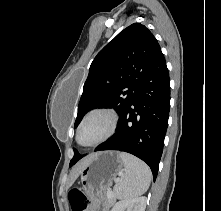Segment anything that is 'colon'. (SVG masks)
I'll use <instances>...</instances> for the list:
<instances>
[{
	"label": "colon",
	"mask_w": 221,
	"mask_h": 211,
	"mask_svg": "<svg viewBox=\"0 0 221 211\" xmlns=\"http://www.w3.org/2000/svg\"><path fill=\"white\" fill-rule=\"evenodd\" d=\"M68 198L72 211H88L89 202L80 189H72L69 192Z\"/></svg>",
	"instance_id": "obj_1"
}]
</instances>
